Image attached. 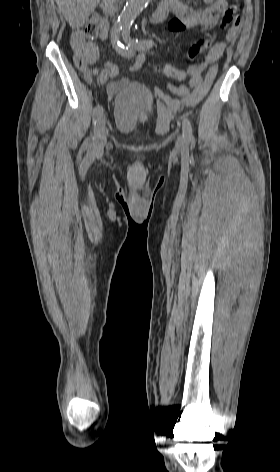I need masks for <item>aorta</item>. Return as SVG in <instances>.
Masks as SVG:
<instances>
[{
    "instance_id": "obj_1",
    "label": "aorta",
    "mask_w": 280,
    "mask_h": 472,
    "mask_svg": "<svg viewBox=\"0 0 280 472\" xmlns=\"http://www.w3.org/2000/svg\"><path fill=\"white\" fill-rule=\"evenodd\" d=\"M149 2L150 0H129L119 16V25L122 28H128Z\"/></svg>"
}]
</instances>
